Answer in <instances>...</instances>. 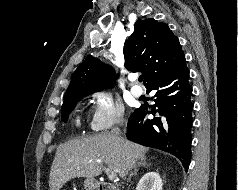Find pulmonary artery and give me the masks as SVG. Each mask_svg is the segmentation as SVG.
I'll use <instances>...</instances> for the list:
<instances>
[{"label": "pulmonary artery", "instance_id": "e3ab8cb5", "mask_svg": "<svg viewBox=\"0 0 238 190\" xmlns=\"http://www.w3.org/2000/svg\"><path fill=\"white\" fill-rule=\"evenodd\" d=\"M131 81H135V78H132ZM130 91L135 97H140L143 94L142 88L136 85L132 86Z\"/></svg>", "mask_w": 238, "mask_h": 190}]
</instances>
